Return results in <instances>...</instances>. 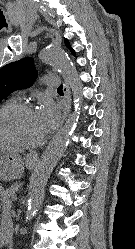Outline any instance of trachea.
Segmentation results:
<instances>
[{
  "mask_svg": "<svg viewBox=\"0 0 135 249\" xmlns=\"http://www.w3.org/2000/svg\"><path fill=\"white\" fill-rule=\"evenodd\" d=\"M57 90L62 91L63 90V85H60Z\"/></svg>",
  "mask_w": 135,
  "mask_h": 249,
  "instance_id": "3493384b",
  "label": "trachea"
}]
</instances>
